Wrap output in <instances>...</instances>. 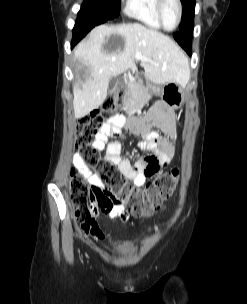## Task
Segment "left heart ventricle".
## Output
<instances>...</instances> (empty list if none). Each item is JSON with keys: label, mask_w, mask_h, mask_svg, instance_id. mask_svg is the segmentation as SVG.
<instances>
[{"label": "left heart ventricle", "mask_w": 247, "mask_h": 304, "mask_svg": "<svg viewBox=\"0 0 247 304\" xmlns=\"http://www.w3.org/2000/svg\"><path fill=\"white\" fill-rule=\"evenodd\" d=\"M163 20L167 28H173L178 20V6L175 0H166L163 8Z\"/></svg>", "instance_id": "obj_1"}]
</instances>
